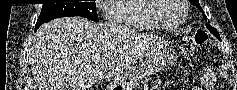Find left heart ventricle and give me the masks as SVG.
<instances>
[{
	"mask_svg": "<svg viewBox=\"0 0 237 90\" xmlns=\"http://www.w3.org/2000/svg\"><path fill=\"white\" fill-rule=\"evenodd\" d=\"M159 1H176V0H159ZM179 6V5H172ZM183 12L180 7L179 10H162L161 13H157V17L161 22L167 26H173L180 22L182 19Z\"/></svg>",
	"mask_w": 237,
	"mask_h": 90,
	"instance_id": "b2bd125f",
	"label": "left heart ventricle"
}]
</instances>
